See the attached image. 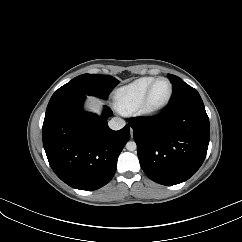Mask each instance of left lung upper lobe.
<instances>
[{
	"label": "left lung upper lobe",
	"mask_w": 242,
	"mask_h": 242,
	"mask_svg": "<svg viewBox=\"0 0 242 242\" xmlns=\"http://www.w3.org/2000/svg\"><path fill=\"white\" fill-rule=\"evenodd\" d=\"M173 86V95L169 104H173L188 98L200 97L199 93L190 85L185 83L181 78L168 74L167 75Z\"/></svg>",
	"instance_id": "obj_1"
}]
</instances>
